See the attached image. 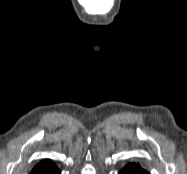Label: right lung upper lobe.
I'll list each match as a JSON object with an SVG mask.
<instances>
[{"label":"right lung upper lobe","instance_id":"cb5924a9","mask_svg":"<svg viewBox=\"0 0 187 174\" xmlns=\"http://www.w3.org/2000/svg\"><path fill=\"white\" fill-rule=\"evenodd\" d=\"M57 171V167L51 161L45 160L40 162L30 174H49Z\"/></svg>","mask_w":187,"mask_h":174}]
</instances>
